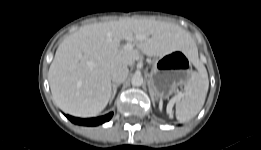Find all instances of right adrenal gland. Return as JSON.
Masks as SVG:
<instances>
[{
    "mask_svg": "<svg viewBox=\"0 0 261 150\" xmlns=\"http://www.w3.org/2000/svg\"><path fill=\"white\" fill-rule=\"evenodd\" d=\"M120 84H113L112 85V94H111V98H110V102H112L113 98L115 97L116 95V92H117V88Z\"/></svg>",
    "mask_w": 261,
    "mask_h": 150,
    "instance_id": "right-adrenal-gland-1",
    "label": "right adrenal gland"
}]
</instances>
